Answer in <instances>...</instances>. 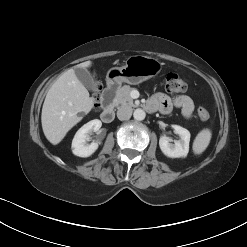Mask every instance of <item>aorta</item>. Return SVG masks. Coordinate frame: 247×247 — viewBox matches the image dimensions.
<instances>
[{
    "label": "aorta",
    "instance_id": "1",
    "mask_svg": "<svg viewBox=\"0 0 247 247\" xmlns=\"http://www.w3.org/2000/svg\"><path fill=\"white\" fill-rule=\"evenodd\" d=\"M145 116H146V113L143 109H136L133 113V117L135 120H138V121H141V120H144L145 119Z\"/></svg>",
    "mask_w": 247,
    "mask_h": 247
}]
</instances>
